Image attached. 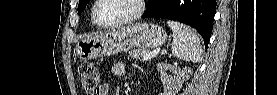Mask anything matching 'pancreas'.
Returning a JSON list of instances; mask_svg holds the SVG:
<instances>
[{
	"label": "pancreas",
	"instance_id": "pancreas-1",
	"mask_svg": "<svg viewBox=\"0 0 277 95\" xmlns=\"http://www.w3.org/2000/svg\"><path fill=\"white\" fill-rule=\"evenodd\" d=\"M148 50L145 48L134 49L129 52V58L140 59L148 54Z\"/></svg>",
	"mask_w": 277,
	"mask_h": 95
}]
</instances>
